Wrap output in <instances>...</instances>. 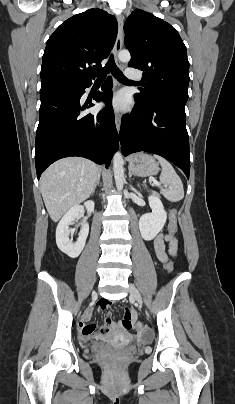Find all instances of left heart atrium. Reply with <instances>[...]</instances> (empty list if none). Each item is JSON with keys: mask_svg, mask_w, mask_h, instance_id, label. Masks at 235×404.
<instances>
[{"mask_svg": "<svg viewBox=\"0 0 235 404\" xmlns=\"http://www.w3.org/2000/svg\"><path fill=\"white\" fill-rule=\"evenodd\" d=\"M111 106L118 111H124L128 108V99L124 93L115 95L111 100Z\"/></svg>", "mask_w": 235, "mask_h": 404, "instance_id": "left-heart-atrium-1", "label": "left heart atrium"}]
</instances>
